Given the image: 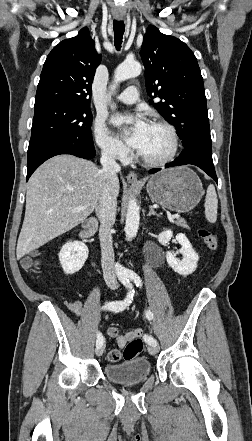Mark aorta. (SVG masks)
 Wrapping results in <instances>:
<instances>
[{
    "label": "aorta",
    "instance_id": "aorta-1",
    "mask_svg": "<svg viewBox=\"0 0 252 441\" xmlns=\"http://www.w3.org/2000/svg\"><path fill=\"white\" fill-rule=\"evenodd\" d=\"M142 71L141 64L137 61H125L121 63L115 70L114 83L111 89L122 81L138 76ZM114 108V106H112ZM140 213L139 207L135 199H131L128 203V209L125 222V233L127 240L134 238L139 229ZM115 271L119 277H125L128 270L120 263L115 264Z\"/></svg>",
    "mask_w": 252,
    "mask_h": 441
}]
</instances>
